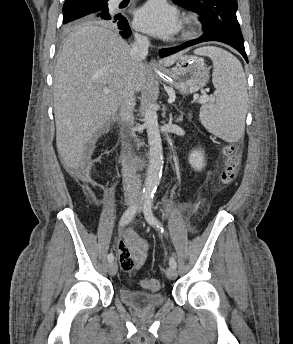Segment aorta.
Here are the masks:
<instances>
[{
	"label": "aorta",
	"instance_id": "obj_1",
	"mask_svg": "<svg viewBox=\"0 0 293 344\" xmlns=\"http://www.w3.org/2000/svg\"><path fill=\"white\" fill-rule=\"evenodd\" d=\"M144 124L149 143V168L143 194L145 196H153L160 183L163 165L162 140L158 125V116L153 105H149L144 113Z\"/></svg>",
	"mask_w": 293,
	"mask_h": 344
}]
</instances>
